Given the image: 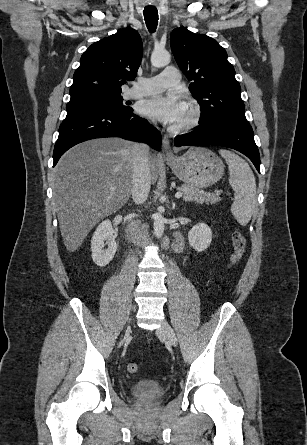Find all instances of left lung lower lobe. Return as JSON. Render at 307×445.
Returning a JSON list of instances; mask_svg holds the SVG:
<instances>
[{
  "label": "left lung lower lobe",
  "instance_id": "left-lung-lower-lobe-1",
  "mask_svg": "<svg viewBox=\"0 0 307 445\" xmlns=\"http://www.w3.org/2000/svg\"><path fill=\"white\" fill-rule=\"evenodd\" d=\"M175 146L217 145L235 149L246 155L260 172V156L252 127L247 121L219 119L199 125L194 131L176 136Z\"/></svg>",
  "mask_w": 307,
  "mask_h": 445
}]
</instances>
